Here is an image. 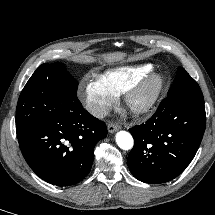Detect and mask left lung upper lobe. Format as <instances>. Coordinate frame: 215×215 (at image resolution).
<instances>
[{"mask_svg": "<svg viewBox=\"0 0 215 215\" xmlns=\"http://www.w3.org/2000/svg\"><path fill=\"white\" fill-rule=\"evenodd\" d=\"M169 97H184L203 101V94L198 83L186 70L179 67L173 85L168 91Z\"/></svg>", "mask_w": 215, "mask_h": 215, "instance_id": "5c2ea615", "label": "left lung upper lobe"}]
</instances>
